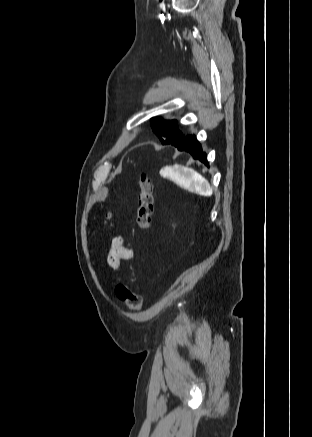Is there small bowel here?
Returning <instances> with one entry per match:
<instances>
[{
	"mask_svg": "<svg viewBox=\"0 0 312 437\" xmlns=\"http://www.w3.org/2000/svg\"><path fill=\"white\" fill-rule=\"evenodd\" d=\"M133 253L130 248L125 246L122 237L118 236L112 240L106 253V262L114 270H118L121 262L131 259Z\"/></svg>",
	"mask_w": 312,
	"mask_h": 437,
	"instance_id": "c3829d8e",
	"label": "small bowel"
}]
</instances>
